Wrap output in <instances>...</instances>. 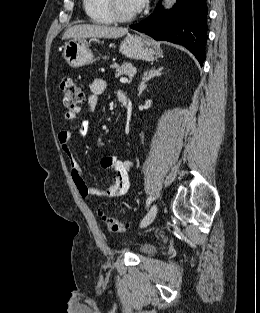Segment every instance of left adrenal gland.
I'll return each mask as SVG.
<instances>
[{"instance_id":"1","label":"left adrenal gland","mask_w":260,"mask_h":313,"mask_svg":"<svg viewBox=\"0 0 260 313\" xmlns=\"http://www.w3.org/2000/svg\"><path fill=\"white\" fill-rule=\"evenodd\" d=\"M163 70V67H159V68H151L150 70H147L144 72V76L142 78V82L140 83L139 87H138V91H139V96L142 94V92L146 89L147 87V82L156 77V76H160L161 72Z\"/></svg>"}]
</instances>
